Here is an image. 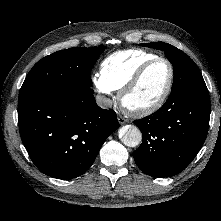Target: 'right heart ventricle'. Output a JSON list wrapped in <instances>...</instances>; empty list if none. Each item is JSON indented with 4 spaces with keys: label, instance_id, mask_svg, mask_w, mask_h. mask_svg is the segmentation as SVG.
Listing matches in <instances>:
<instances>
[{
    "label": "right heart ventricle",
    "instance_id": "right-heart-ventricle-1",
    "mask_svg": "<svg viewBox=\"0 0 221 221\" xmlns=\"http://www.w3.org/2000/svg\"><path fill=\"white\" fill-rule=\"evenodd\" d=\"M156 57L140 49L118 51L101 62L100 75L112 90H120L140 66Z\"/></svg>",
    "mask_w": 221,
    "mask_h": 221
}]
</instances>
